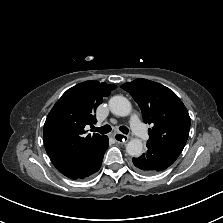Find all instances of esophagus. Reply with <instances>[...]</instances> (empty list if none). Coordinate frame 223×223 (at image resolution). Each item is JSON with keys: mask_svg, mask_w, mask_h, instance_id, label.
Returning a JSON list of instances; mask_svg holds the SVG:
<instances>
[{"mask_svg": "<svg viewBox=\"0 0 223 223\" xmlns=\"http://www.w3.org/2000/svg\"><path fill=\"white\" fill-rule=\"evenodd\" d=\"M113 138L118 142V143H126L129 140V137L122 134V133H115L113 135Z\"/></svg>", "mask_w": 223, "mask_h": 223, "instance_id": "34e87169", "label": "esophagus"}]
</instances>
